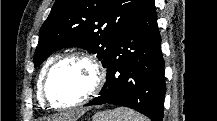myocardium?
Instances as JSON below:
<instances>
[{"mask_svg":"<svg viewBox=\"0 0 217 121\" xmlns=\"http://www.w3.org/2000/svg\"><path fill=\"white\" fill-rule=\"evenodd\" d=\"M74 59H83L85 61H87L88 63L91 64V66L94 69L95 72V80L94 83L92 85L91 90L89 91L88 94H86L83 98H81L80 100H78L75 103L69 104V105H58L56 103H54V101L52 100L50 94H49V86H50V81L51 78L54 74V72L56 71V69L62 65L63 63L70 61V60H74ZM105 68L102 64V62L93 54L85 52V51H74L65 55H62L60 57H58L49 67V69L47 70L44 79H43V83H42V96L45 100V102L53 109V110H57V111H66L75 107H79L81 105H84L86 103H88L89 101H91L95 95H97L105 82Z\"/></svg>","mask_w":217,"mask_h":121,"instance_id":"myocardium-1","label":"myocardium"}]
</instances>
